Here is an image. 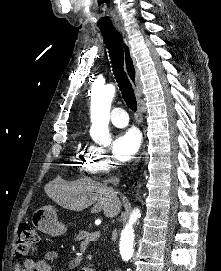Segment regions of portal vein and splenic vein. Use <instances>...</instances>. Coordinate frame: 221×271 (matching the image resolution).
Returning <instances> with one entry per match:
<instances>
[{"label":"portal vein and splenic vein","mask_w":221,"mask_h":271,"mask_svg":"<svg viewBox=\"0 0 221 271\" xmlns=\"http://www.w3.org/2000/svg\"><path fill=\"white\" fill-rule=\"evenodd\" d=\"M97 231H92V233H89V237H86V242H97Z\"/></svg>","instance_id":"1"}]
</instances>
